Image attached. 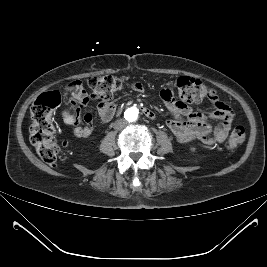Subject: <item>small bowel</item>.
Instances as JSON below:
<instances>
[{"mask_svg":"<svg viewBox=\"0 0 267 267\" xmlns=\"http://www.w3.org/2000/svg\"><path fill=\"white\" fill-rule=\"evenodd\" d=\"M132 88L141 92L142 85L134 82ZM66 95H70L72 103L75 106L65 107L61 111V117L65 124L72 127V133L78 138H86L93 131V116L86 113L84 119L86 126L79 125L81 108L85 106L89 97L80 81L68 82L65 86ZM160 95L168 108L171 118L167 121V126L181 143H187L193 140H199L201 143L211 146L223 142L232 127L234 113L232 109L218 98L212 100L215 110L209 115H203L193 109L186 103L175 99L171 86H165L161 89ZM115 105L113 103H100L97 111L102 122H108L114 114ZM217 120L218 124L212 126L208 121Z\"/></svg>","mask_w":267,"mask_h":267,"instance_id":"1","label":"small bowel"}]
</instances>
